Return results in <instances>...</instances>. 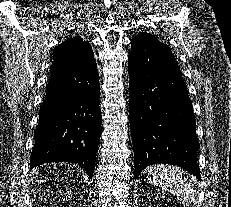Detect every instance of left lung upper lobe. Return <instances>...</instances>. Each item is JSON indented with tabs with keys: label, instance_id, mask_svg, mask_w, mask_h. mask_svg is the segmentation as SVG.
I'll use <instances>...</instances> for the list:
<instances>
[{
	"label": "left lung upper lobe",
	"instance_id": "left-lung-upper-lobe-1",
	"mask_svg": "<svg viewBox=\"0 0 231 207\" xmlns=\"http://www.w3.org/2000/svg\"><path fill=\"white\" fill-rule=\"evenodd\" d=\"M134 39H138V40L156 39L157 40V38L154 35L147 33V32H140L138 35L134 37Z\"/></svg>",
	"mask_w": 231,
	"mask_h": 207
}]
</instances>
